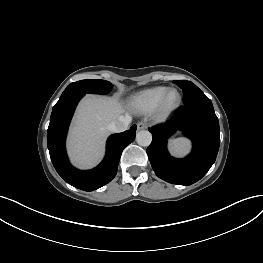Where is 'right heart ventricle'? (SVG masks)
<instances>
[{"label":"right heart ventricle","mask_w":263,"mask_h":263,"mask_svg":"<svg viewBox=\"0 0 263 263\" xmlns=\"http://www.w3.org/2000/svg\"><path fill=\"white\" fill-rule=\"evenodd\" d=\"M167 90L168 88L165 86L141 90L131 96L129 105L137 113L146 114L153 112Z\"/></svg>","instance_id":"e07e8e85"}]
</instances>
